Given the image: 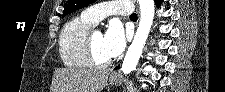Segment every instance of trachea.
<instances>
[{"label": "trachea", "mask_w": 225, "mask_h": 92, "mask_svg": "<svg viewBox=\"0 0 225 92\" xmlns=\"http://www.w3.org/2000/svg\"><path fill=\"white\" fill-rule=\"evenodd\" d=\"M130 18L137 19V14L136 13L131 14Z\"/></svg>", "instance_id": "obj_1"}]
</instances>
